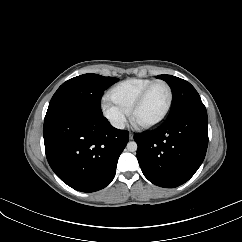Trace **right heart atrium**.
Listing matches in <instances>:
<instances>
[{"label":"right heart atrium","instance_id":"1","mask_svg":"<svg viewBox=\"0 0 242 242\" xmlns=\"http://www.w3.org/2000/svg\"><path fill=\"white\" fill-rule=\"evenodd\" d=\"M101 109L107 120L117 129H122L128 122L130 114L108 97H105L101 103Z\"/></svg>","mask_w":242,"mask_h":242}]
</instances>
